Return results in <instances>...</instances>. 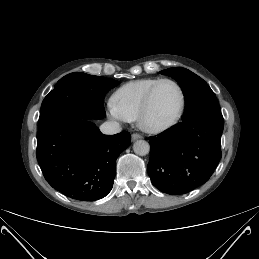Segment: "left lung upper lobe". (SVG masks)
Returning <instances> with one entry per match:
<instances>
[{
  "label": "left lung upper lobe",
  "instance_id": "obj_1",
  "mask_svg": "<svg viewBox=\"0 0 259 259\" xmlns=\"http://www.w3.org/2000/svg\"><path fill=\"white\" fill-rule=\"evenodd\" d=\"M160 73L173 77L183 91L185 111L182 121L203 113L221 112L216 95L209 85L190 70L174 67Z\"/></svg>",
  "mask_w": 259,
  "mask_h": 259
}]
</instances>
